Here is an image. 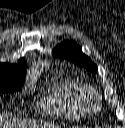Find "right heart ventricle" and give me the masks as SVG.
<instances>
[{
    "label": "right heart ventricle",
    "mask_w": 125,
    "mask_h": 128,
    "mask_svg": "<svg viewBox=\"0 0 125 128\" xmlns=\"http://www.w3.org/2000/svg\"><path fill=\"white\" fill-rule=\"evenodd\" d=\"M86 87L72 77H58L43 95L39 106L54 115L77 120L91 110Z\"/></svg>",
    "instance_id": "1"
}]
</instances>
